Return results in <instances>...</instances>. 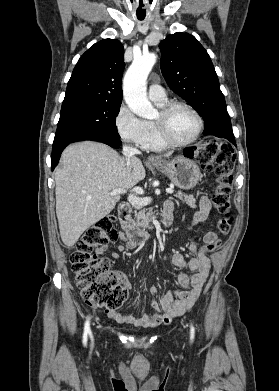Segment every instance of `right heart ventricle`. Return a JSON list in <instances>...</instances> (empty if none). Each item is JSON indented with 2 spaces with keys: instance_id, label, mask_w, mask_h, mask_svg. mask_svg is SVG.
<instances>
[{
  "instance_id": "obj_1",
  "label": "right heart ventricle",
  "mask_w": 279,
  "mask_h": 391,
  "mask_svg": "<svg viewBox=\"0 0 279 391\" xmlns=\"http://www.w3.org/2000/svg\"><path fill=\"white\" fill-rule=\"evenodd\" d=\"M166 103L167 100L155 102L159 108H162ZM144 124L146 129V136L142 143V148L151 151H162L167 149L168 146L162 142L154 121L147 120L144 121Z\"/></svg>"
}]
</instances>
